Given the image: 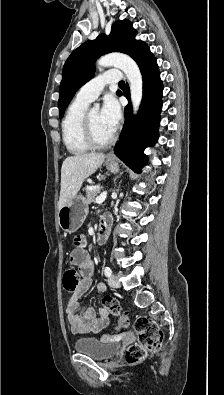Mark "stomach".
I'll return each mask as SVG.
<instances>
[{"mask_svg":"<svg viewBox=\"0 0 224 395\" xmlns=\"http://www.w3.org/2000/svg\"><path fill=\"white\" fill-rule=\"evenodd\" d=\"M105 164L112 173L119 170L118 163L115 160H106ZM87 214V200L82 195H76L59 209L58 224L65 232H76L83 224Z\"/></svg>","mask_w":224,"mask_h":395,"instance_id":"stomach-1","label":"stomach"}]
</instances>
